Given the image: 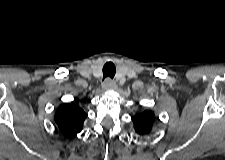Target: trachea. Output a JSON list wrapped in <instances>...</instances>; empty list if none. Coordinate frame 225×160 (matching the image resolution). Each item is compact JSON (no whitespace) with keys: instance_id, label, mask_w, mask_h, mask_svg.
I'll list each match as a JSON object with an SVG mask.
<instances>
[{"instance_id":"trachea-1","label":"trachea","mask_w":225,"mask_h":160,"mask_svg":"<svg viewBox=\"0 0 225 160\" xmlns=\"http://www.w3.org/2000/svg\"><path fill=\"white\" fill-rule=\"evenodd\" d=\"M116 73V67L112 62H107L103 66V78L109 77L113 78Z\"/></svg>"}]
</instances>
